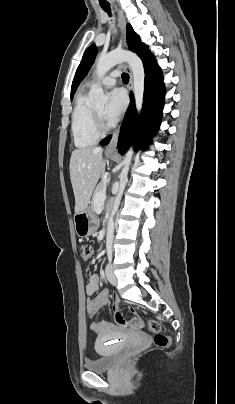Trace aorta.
<instances>
[{
    "label": "aorta",
    "mask_w": 235,
    "mask_h": 404,
    "mask_svg": "<svg viewBox=\"0 0 235 404\" xmlns=\"http://www.w3.org/2000/svg\"><path fill=\"white\" fill-rule=\"evenodd\" d=\"M127 62L133 73V90L137 112L140 113L143 105L144 95V67L141 59L134 53L120 49L113 50L107 54H101L96 63V75L98 78L103 77L112 67L119 63ZM91 103L95 107H103L108 97L104 94L102 87L97 86L90 91ZM133 156V148L131 147L125 154L123 160V169L120 174V184L117 197L114 201L111 216L108 221L106 241L108 245L112 244L114 234V215L118 210L123 190L128 180V171Z\"/></svg>",
    "instance_id": "aorta-1"
}]
</instances>
